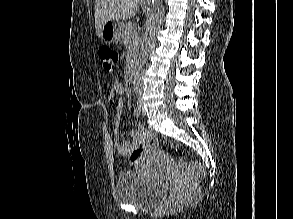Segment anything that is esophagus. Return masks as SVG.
<instances>
[{"label":"esophagus","mask_w":293,"mask_h":219,"mask_svg":"<svg viewBox=\"0 0 293 219\" xmlns=\"http://www.w3.org/2000/svg\"><path fill=\"white\" fill-rule=\"evenodd\" d=\"M144 4H150V0H141Z\"/></svg>","instance_id":"obj_1"}]
</instances>
